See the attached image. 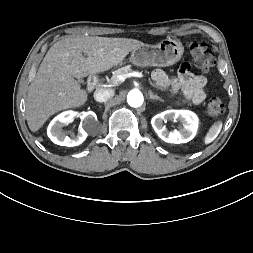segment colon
<instances>
[{
    "instance_id": "1",
    "label": "colon",
    "mask_w": 253,
    "mask_h": 253,
    "mask_svg": "<svg viewBox=\"0 0 253 253\" xmlns=\"http://www.w3.org/2000/svg\"><path fill=\"white\" fill-rule=\"evenodd\" d=\"M189 54L198 68L209 71L214 68L216 59L204 42L190 41L188 43ZM207 111L212 116H218L224 112V104L218 97H212L207 103Z\"/></svg>"
}]
</instances>
